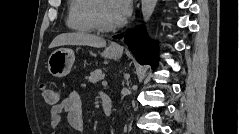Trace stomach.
Wrapping results in <instances>:
<instances>
[{"label":"stomach","mask_w":239,"mask_h":134,"mask_svg":"<svg viewBox=\"0 0 239 134\" xmlns=\"http://www.w3.org/2000/svg\"><path fill=\"white\" fill-rule=\"evenodd\" d=\"M101 55L108 59H118L122 55V49L109 46ZM74 60L75 55L72 49L59 48L49 56L48 71L54 77H64L70 72Z\"/></svg>","instance_id":"obj_1"}]
</instances>
